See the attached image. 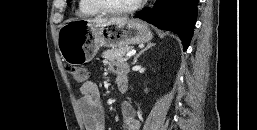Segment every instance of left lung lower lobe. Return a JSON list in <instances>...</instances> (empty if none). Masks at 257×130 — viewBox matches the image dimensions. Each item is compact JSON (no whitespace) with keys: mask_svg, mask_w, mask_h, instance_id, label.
<instances>
[{"mask_svg":"<svg viewBox=\"0 0 257 130\" xmlns=\"http://www.w3.org/2000/svg\"><path fill=\"white\" fill-rule=\"evenodd\" d=\"M197 4L198 0H158L151 9H144L135 17L177 34L185 51L194 32Z\"/></svg>","mask_w":257,"mask_h":130,"instance_id":"left-lung-lower-lobe-1","label":"left lung lower lobe"}]
</instances>
